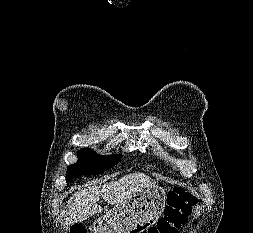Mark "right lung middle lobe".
I'll list each match as a JSON object with an SVG mask.
<instances>
[{
    "mask_svg": "<svg viewBox=\"0 0 253 233\" xmlns=\"http://www.w3.org/2000/svg\"><path fill=\"white\" fill-rule=\"evenodd\" d=\"M120 155L97 156L92 150L86 148L78 151V162L67 168V180L80 175L99 174L113 167L120 161Z\"/></svg>",
    "mask_w": 253,
    "mask_h": 233,
    "instance_id": "right-lung-middle-lobe-1",
    "label": "right lung middle lobe"
}]
</instances>
